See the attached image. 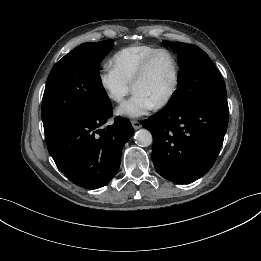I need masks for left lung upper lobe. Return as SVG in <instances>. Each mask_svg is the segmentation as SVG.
I'll list each match as a JSON object with an SVG mask.
<instances>
[{
  "label": "left lung upper lobe",
  "instance_id": "1",
  "mask_svg": "<svg viewBox=\"0 0 261 261\" xmlns=\"http://www.w3.org/2000/svg\"><path fill=\"white\" fill-rule=\"evenodd\" d=\"M178 53L179 88L165 108L182 111L196 103L226 96V87L209 56L200 48L186 43L164 41Z\"/></svg>",
  "mask_w": 261,
  "mask_h": 261
}]
</instances>
